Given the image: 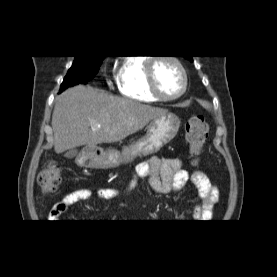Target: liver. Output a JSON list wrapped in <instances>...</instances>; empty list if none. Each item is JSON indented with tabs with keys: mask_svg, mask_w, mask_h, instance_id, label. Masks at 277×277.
<instances>
[{
	"mask_svg": "<svg viewBox=\"0 0 277 277\" xmlns=\"http://www.w3.org/2000/svg\"><path fill=\"white\" fill-rule=\"evenodd\" d=\"M166 113L90 86L69 88L57 97L52 115L55 152L121 141Z\"/></svg>",
	"mask_w": 277,
	"mask_h": 277,
	"instance_id": "obj_1",
	"label": "liver"
}]
</instances>
